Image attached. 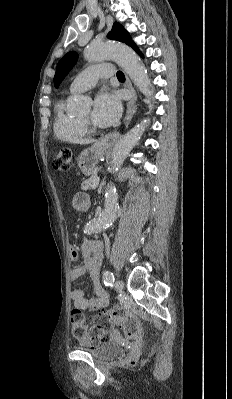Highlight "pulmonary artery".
Returning a JSON list of instances; mask_svg holds the SVG:
<instances>
[{"label": "pulmonary artery", "mask_w": 232, "mask_h": 399, "mask_svg": "<svg viewBox=\"0 0 232 399\" xmlns=\"http://www.w3.org/2000/svg\"><path fill=\"white\" fill-rule=\"evenodd\" d=\"M94 69H81L80 73H75L71 83L72 88H84L86 90H95L96 85L100 84V80L112 78L113 65L111 63H94ZM79 89L78 95L84 96L85 90Z\"/></svg>", "instance_id": "e3ab8cb5"}]
</instances>
